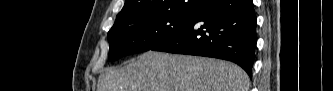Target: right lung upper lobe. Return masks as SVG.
Instances as JSON below:
<instances>
[{
  "label": "right lung upper lobe",
  "mask_w": 333,
  "mask_h": 91,
  "mask_svg": "<svg viewBox=\"0 0 333 91\" xmlns=\"http://www.w3.org/2000/svg\"><path fill=\"white\" fill-rule=\"evenodd\" d=\"M205 0H126L115 25L160 13H198Z\"/></svg>",
  "instance_id": "cb5924a9"
}]
</instances>
